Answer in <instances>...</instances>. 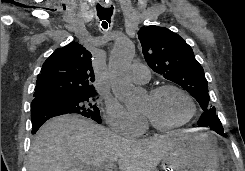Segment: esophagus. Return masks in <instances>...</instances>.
<instances>
[{
	"label": "esophagus",
	"mask_w": 245,
	"mask_h": 171,
	"mask_svg": "<svg viewBox=\"0 0 245 171\" xmlns=\"http://www.w3.org/2000/svg\"><path fill=\"white\" fill-rule=\"evenodd\" d=\"M104 6H106V7H107V6H109V5H107V4H104Z\"/></svg>",
	"instance_id": "esophagus-1"
}]
</instances>
